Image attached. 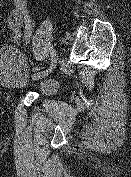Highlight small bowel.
I'll return each mask as SVG.
<instances>
[{"instance_id":"small-bowel-1","label":"small bowel","mask_w":131,"mask_h":177,"mask_svg":"<svg viewBox=\"0 0 131 177\" xmlns=\"http://www.w3.org/2000/svg\"><path fill=\"white\" fill-rule=\"evenodd\" d=\"M12 10L6 23V32L11 42L29 41L32 35V18L27 0H11Z\"/></svg>"}]
</instances>
